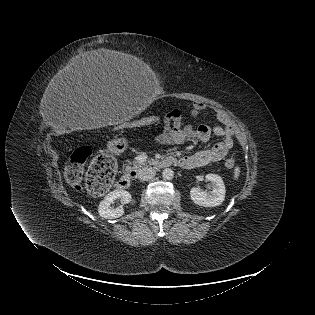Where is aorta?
<instances>
[{
	"label": "aorta",
	"mask_w": 315,
	"mask_h": 315,
	"mask_svg": "<svg viewBox=\"0 0 315 315\" xmlns=\"http://www.w3.org/2000/svg\"><path fill=\"white\" fill-rule=\"evenodd\" d=\"M162 177H163V179H165V180H172L173 177H174V172H173V170L170 169V168L164 169L163 172H162Z\"/></svg>",
	"instance_id": "1"
}]
</instances>
